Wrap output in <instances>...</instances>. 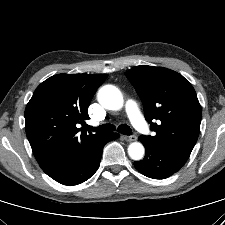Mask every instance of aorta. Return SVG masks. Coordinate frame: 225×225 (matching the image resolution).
Wrapping results in <instances>:
<instances>
[{
    "label": "aorta",
    "mask_w": 225,
    "mask_h": 225,
    "mask_svg": "<svg viewBox=\"0 0 225 225\" xmlns=\"http://www.w3.org/2000/svg\"><path fill=\"white\" fill-rule=\"evenodd\" d=\"M98 102L108 110H119L124 100L121 91L113 85H105L98 91ZM145 149L140 142H133L128 146V154L133 160H141Z\"/></svg>",
    "instance_id": "aorta-1"
}]
</instances>
